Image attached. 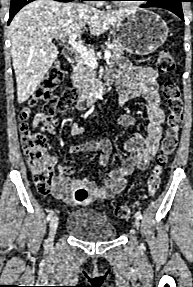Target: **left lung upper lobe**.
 <instances>
[{"label": "left lung upper lobe", "mask_w": 193, "mask_h": 287, "mask_svg": "<svg viewBox=\"0 0 193 287\" xmlns=\"http://www.w3.org/2000/svg\"><path fill=\"white\" fill-rule=\"evenodd\" d=\"M145 1H147V2H152V1H156V0H145Z\"/></svg>", "instance_id": "left-lung-upper-lobe-1"}]
</instances>
